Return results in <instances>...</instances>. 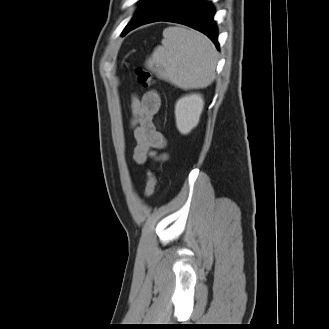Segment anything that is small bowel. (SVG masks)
<instances>
[{
	"instance_id": "small-bowel-1",
	"label": "small bowel",
	"mask_w": 329,
	"mask_h": 329,
	"mask_svg": "<svg viewBox=\"0 0 329 329\" xmlns=\"http://www.w3.org/2000/svg\"><path fill=\"white\" fill-rule=\"evenodd\" d=\"M161 105L160 95L156 91L146 92L141 99L132 97V127L136 141L133 158L142 165L150 157L160 161L167 159L165 153L158 155L157 150L166 146V139L159 131L156 115Z\"/></svg>"
}]
</instances>
